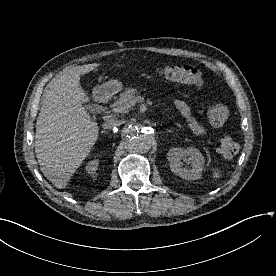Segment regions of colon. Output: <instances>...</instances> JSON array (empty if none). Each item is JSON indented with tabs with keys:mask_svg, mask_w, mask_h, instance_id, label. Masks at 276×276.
<instances>
[{
	"mask_svg": "<svg viewBox=\"0 0 276 276\" xmlns=\"http://www.w3.org/2000/svg\"><path fill=\"white\" fill-rule=\"evenodd\" d=\"M159 76L175 83L200 86L201 72L191 65H167L157 70ZM209 122L214 126L223 125L229 117L228 106L220 101L213 102L207 111ZM219 153L225 159L233 158L239 151L238 142L231 136H224L219 144Z\"/></svg>",
	"mask_w": 276,
	"mask_h": 276,
	"instance_id": "obj_1",
	"label": "colon"
}]
</instances>
